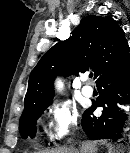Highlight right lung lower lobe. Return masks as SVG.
<instances>
[{
	"label": "right lung lower lobe",
	"instance_id": "1",
	"mask_svg": "<svg viewBox=\"0 0 130 153\" xmlns=\"http://www.w3.org/2000/svg\"><path fill=\"white\" fill-rule=\"evenodd\" d=\"M96 85L100 96L84 112L82 128L91 140L119 138L126 115L117 104L130 103V55L102 74ZM97 106L103 107L102 115L92 117Z\"/></svg>",
	"mask_w": 130,
	"mask_h": 153
}]
</instances>
